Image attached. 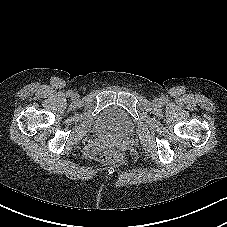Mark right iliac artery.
<instances>
[{
    "label": "right iliac artery",
    "mask_w": 227,
    "mask_h": 227,
    "mask_svg": "<svg viewBox=\"0 0 227 227\" xmlns=\"http://www.w3.org/2000/svg\"><path fill=\"white\" fill-rule=\"evenodd\" d=\"M72 94H73L72 91H68V92H67V95H68L69 97L72 96Z\"/></svg>",
    "instance_id": "1"
}]
</instances>
